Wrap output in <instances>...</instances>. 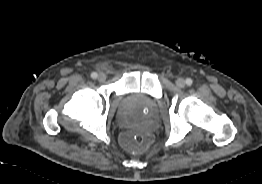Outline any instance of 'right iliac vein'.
Wrapping results in <instances>:
<instances>
[{
    "mask_svg": "<svg viewBox=\"0 0 262 184\" xmlns=\"http://www.w3.org/2000/svg\"><path fill=\"white\" fill-rule=\"evenodd\" d=\"M106 80V75L104 73H100L98 75V81L104 82Z\"/></svg>",
    "mask_w": 262,
    "mask_h": 184,
    "instance_id": "63e3f726",
    "label": "right iliac vein"
}]
</instances>
